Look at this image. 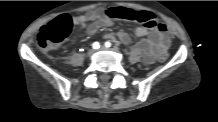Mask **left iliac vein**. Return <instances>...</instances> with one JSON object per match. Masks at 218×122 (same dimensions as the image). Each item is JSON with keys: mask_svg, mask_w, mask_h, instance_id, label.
Returning a JSON list of instances; mask_svg holds the SVG:
<instances>
[{"mask_svg": "<svg viewBox=\"0 0 218 122\" xmlns=\"http://www.w3.org/2000/svg\"><path fill=\"white\" fill-rule=\"evenodd\" d=\"M106 47L105 46H101L100 47V50H104Z\"/></svg>", "mask_w": 218, "mask_h": 122, "instance_id": "4c4485c4", "label": "left iliac vein"}]
</instances>
